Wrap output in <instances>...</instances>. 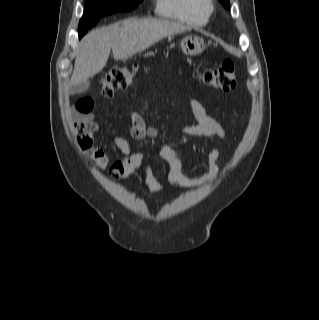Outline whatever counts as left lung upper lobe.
<instances>
[{
	"mask_svg": "<svg viewBox=\"0 0 319 320\" xmlns=\"http://www.w3.org/2000/svg\"><path fill=\"white\" fill-rule=\"evenodd\" d=\"M219 2H221L226 9H230L229 0H219Z\"/></svg>",
	"mask_w": 319,
	"mask_h": 320,
	"instance_id": "1",
	"label": "left lung upper lobe"
}]
</instances>
